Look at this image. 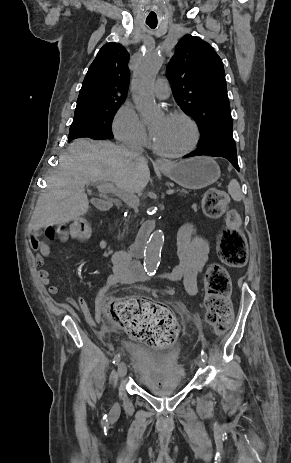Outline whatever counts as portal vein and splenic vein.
Masks as SVG:
<instances>
[{
  "instance_id": "obj_1",
  "label": "portal vein and splenic vein",
  "mask_w": 291,
  "mask_h": 463,
  "mask_svg": "<svg viewBox=\"0 0 291 463\" xmlns=\"http://www.w3.org/2000/svg\"><path fill=\"white\" fill-rule=\"evenodd\" d=\"M96 186H97V189L101 193L114 194L133 208H137V206L139 205V198L136 195H134L133 193L127 192L125 190H122L119 187H116L111 183H107L106 181H97ZM173 193H175L174 189L166 190V194H173Z\"/></svg>"
}]
</instances>
